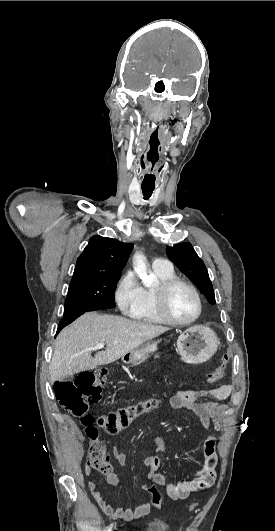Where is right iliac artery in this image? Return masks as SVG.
<instances>
[{"mask_svg":"<svg viewBox=\"0 0 275 531\" xmlns=\"http://www.w3.org/2000/svg\"><path fill=\"white\" fill-rule=\"evenodd\" d=\"M107 531H112V524L109 526Z\"/></svg>","mask_w":275,"mask_h":531,"instance_id":"right-iliac-artery-1","label":"right iliac artery"}]
</instances>
